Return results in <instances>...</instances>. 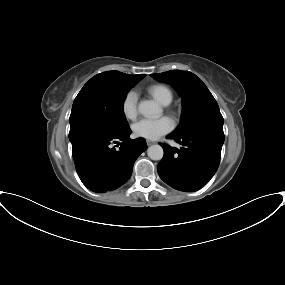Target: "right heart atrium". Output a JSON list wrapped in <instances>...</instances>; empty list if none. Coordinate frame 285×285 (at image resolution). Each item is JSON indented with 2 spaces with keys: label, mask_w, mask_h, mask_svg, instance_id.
Wrapping results in <instances>:
<instances>
[{
  "label": "right heart atrium",
  "mask_w": 285,
  "mask_h": 285,
  "mask_svg": "<svg viewBox=\"0 0 285 285\" xmlns=\"http://www.w3.org/2000/svg\"><path fill=\"white\" fill-rule=\"evenodd\" d=\"M137 101L138 95L135 91L127 92L122 101V112L129 120L135 119L138 115Z\"/></svg>",
  "instance_id": "d8ad5b80"
}]
</instances>
